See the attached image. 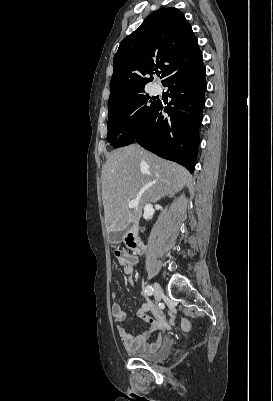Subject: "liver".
Listing matches in <instances>:
<instances>
[{"label":"liver","mask_w":273,"mask_h":401,"mask_svg":"<svg viewBox=\"0 0 273 401\" xmlns=\"http://www.w3.org/2000/svg\"><path fill=\"white\" fill-rule=\"evenodd\" d=\"M192 176L184 166L159 158L139 144H129L108 154L102 168V201L107 233L124 231L138 223L147 203L175 194ZM130 201L139 207L130 211Z\"/></svg>","instance_id":"1"}]
</instances>
